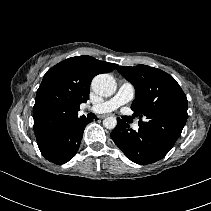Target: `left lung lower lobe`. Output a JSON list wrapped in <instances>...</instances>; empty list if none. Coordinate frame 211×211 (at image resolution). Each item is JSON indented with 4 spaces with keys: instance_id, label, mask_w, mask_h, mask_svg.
<instances>
[{
    "instance_id": "left-lung-lower-lobe-1",
    "label": "left lung lower lobe",
    "mask_w": 211,
    "mask_h": 211,
    "mask_svg": "<svg viewBox=\"0 0 211 211\" xmlns=\"http://www.w3.org/2000/svg\"><path fill=\"white\" fill-rule=\"evenodd\" d=\"M118 124L111 138L132 162L145 165L162 159L172 148L149 131L139 128L136 132L117 118Z\"/></svg>"
}]
</instances>
